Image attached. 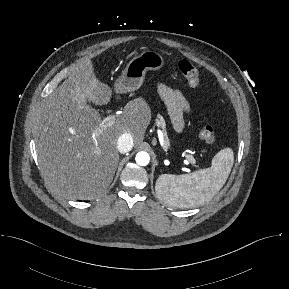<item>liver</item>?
Masks as SVG:
<instances>
[{
	"label": "liver",
	"instance_id": "6515ba94",
	"mask_svg": "<svg viewBox=\"0 0 289 289\" xmlns=\"http://www.w3.org/2000/svg\"><path fill=\"white\" fill-rule=\"evenodd\" d=\"M111 98L112 89L97 79L85 58L45 101L35 125L36 152L45 181L62 196L90 200L102 194L119 162L120 135L131 134L136 144L143 141L151 120L146 102L127 103L115 123L105 127L92 105Z\"/></svg>",
	"mask_w": 289,
	"mask_h": 289
}]
</instances>
